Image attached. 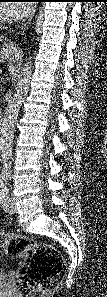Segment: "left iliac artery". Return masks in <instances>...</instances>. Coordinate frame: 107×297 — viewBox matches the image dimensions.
I'll use <instances>...</instances> for the list:
<instances>
[{
  "label": "left iliac artery",
  "mask_w": 107,
  "mask_h": 297,
  "mask_svg": "<svg viewBox=\"0 0 107 297\" xmlns=\"http://www.w3.org/2000/svg\"><path fill=\"white\" fill-rule=\"evenodd\" d=\"M7 190H4V189H2L1 191H0V202L3 204V205H5L6 204V201H7V199H8V197H7Z\"/></svg>",
  "instance_id": "1"
}]
</instances>
